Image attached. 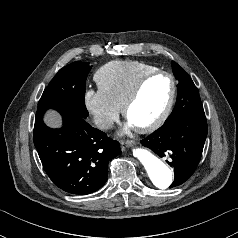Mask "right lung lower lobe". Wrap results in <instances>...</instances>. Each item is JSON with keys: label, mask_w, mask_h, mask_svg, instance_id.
Listing matches in <instances>:
<instances>
[{"label": "right lung lower lobe", "mask_w": 238, "mask_h": 238, "mask_svg": "<svg viewBox=\"0 0 238 238\" xmlns=\"http://www.w3.org/2000/svg\"><path fill=\"white\" fill-rule=\"evenodd\" d=\"M33 141L52 182L76 195L99 190L107 181L108 162L121 153L117 141L81 117L64 118L61 128L37 122Z\"/></svg>", "instance_id": "right-lung-lower-lobe-1"}]
</instances>
